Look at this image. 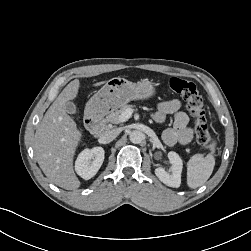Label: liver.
<instances>
[{"label":"liver","instance_id":"liver-1","mask_svg":"<svg viewBox=\"0 0 251 251\" xmlns=\"http://www.w3.org/2000/svg\"><path fill=\"white\" fill-rule=\"evenodd\" d=\"M79 88L80 81L75 79L63 89L37 125L34 137V151L43 173L66 190H75L81 184L73 169V159L82 132L65 110V104L77 97Z\"/></svg>","mask_w":251,"mask_h":251}]
</instances>
